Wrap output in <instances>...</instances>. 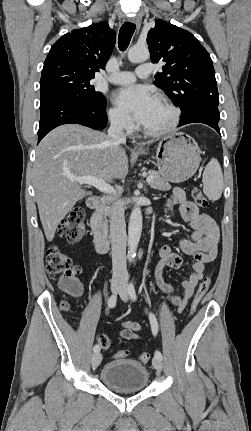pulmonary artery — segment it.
Masks as SVG:
<instances>
[{"label": "pulmonary artery", "instance_id": "e3ab8cb5", "mask_svg": "<svg viewBox=\"0 0 251 431\" xmlns=\"http://www.w3.org/2000/svg\"><path fill=\"white\" fill-rule=\"evenodd\" d=\"M151 73V65L143 64L137 67L135 73L129 71H121L110 74L107 79L114 84H130L139 78H146Z\"/></svg>", "mask_w": 251, "mask_h": 431}]
</instances>
